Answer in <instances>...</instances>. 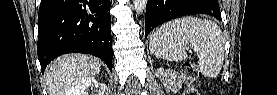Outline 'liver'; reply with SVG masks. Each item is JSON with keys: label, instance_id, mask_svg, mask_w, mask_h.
<instances>
[{"label": "liver", "instance_id": "6515ba94", "mask_svg": "<svg viewBox=\"0 0 277 95\" xmlns=\"http://www.w3.org/2000/svg\"><path fill=\"white\" fill-rule=\"evenodd\" d=\"M99 60L83 54H66L55 59L46 71L49 95H68L76 82L99 74Z\"/></svg>", "mask_w": 277, "mask_h": 95}]
</instances>
